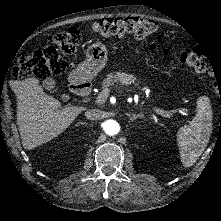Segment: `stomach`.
Instances as JSON below:
<instances>
[{"instance_id": "0dacf381", "label": "stomach", "mask_w": 221, "mask_h": 221, "mask_svg": "<svg viewBox=\"0 0 221 221\" xmlns=\"http://www.w3.org/2000/svg\"><path fill=\"white\" fill-rule=\"evenodd\" d=\"M106 60V46L101 42L93 43L86 51V60L73 69V78L79 82L92 79L104 67Z\"/></svg>"}]
</instances>
